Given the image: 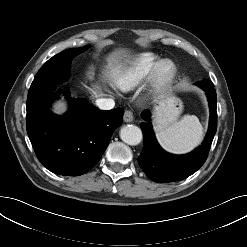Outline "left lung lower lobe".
<instances>
[{"mask_svg": "<svg viewBox=\"0 0 247 247\" xmlns=\"http://www.w3.org/2000/svg\"><path fill=\"white\" fill-rule=\"evenodd\" d=\"M208 96L210 121L207 135L196 150L186 155H172L165 152L156 141L148 110L141 113L144 122L140 124L143 132V149L138 164L149 179L157 183L183 180L195 173L206 161L214 135L217 130L216 91L210 80L196 82Z\"/></svg>", "mask_w": 247, "mask_h": 247, "instance_id": "left-lung-lower-lobe-1", "label": "left lung lower lobe"}]
</instances>
